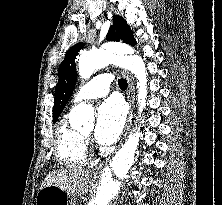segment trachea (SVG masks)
<instances>
[{"instance_id": "trachea-1", "label": "trachea", "mask_w": 222, "mask_h": 205, "mask_svg": "<svg viewBox=\"0 0 222 205\" xmlns=\"http://www.w3.org/2000/svg\"><path fill=\"white\" fill-rule=\"evenodd\" d=\"M118 85L121 89H126L128 86V83L126 80L121 78V79H118Z\"/></svg>"}]
</instances>
